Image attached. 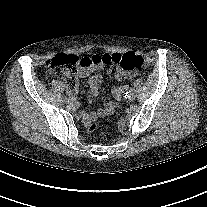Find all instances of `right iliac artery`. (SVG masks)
Wrapping results in <instances>:
<instances>
[{
  "label": "right iliac artery",
  "mask_w": 207,
  "mask_h": 207,
  "mask_svg": "<svg viewBox=\"0 0 207 207\" xmlns=\"http://www.w3.org/2000/svg\"><path fill=\"white\" fill-rule=\"evenodd\" d=\"M62 99H63L64 101H66L67 98H66V96H63Z\"/></svg>",
  "instance_id": "right-iliac-artery-1"
}]
</instances>
